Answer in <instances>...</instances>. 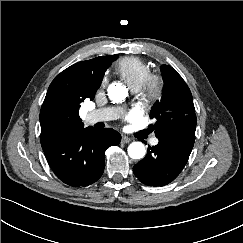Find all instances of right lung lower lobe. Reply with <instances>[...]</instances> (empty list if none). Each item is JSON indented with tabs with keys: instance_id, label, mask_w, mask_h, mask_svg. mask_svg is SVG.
<instances>
[{
	"instance_id": "1",
	"label": "right lung lower lobe",
	"mask_w": 243,
	"mask_h": 243,
	"mask_svg": "<svg viewBox=\"0 0 243 243\" xmlns=\"http://www.w3.org/2000/svg\"><path fill=\"white\" fill-rule=\"evenodd\" d=\"M119 133L91 127L41 140L47 161L65 184L79 187L96 182L105 168V150L118 145Z\"/></svg>"
}]
</instances>
